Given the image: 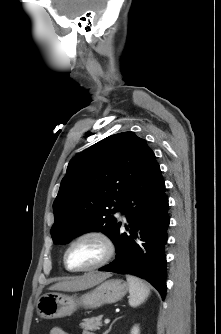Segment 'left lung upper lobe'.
<instances>
[{
	"mask_svg": "<svg viewBox=\"0 0 221 334\" xmlns=\"http://www.w3.org/2000/svg\"><path fill=\"white\" fill-rule=\"evenodd\" d=\"M154 158L133 132L111 135L73 157L53 203V242L66 244L88 231L111 238L117 224L112 213Z\"/></svg>",
	"mask_w": 221,
	"mask_h": 334,
	"instance_id": "left-lung-upper-lobe-1",
	"label": "left lung upper lobe"
}]
</instances>
